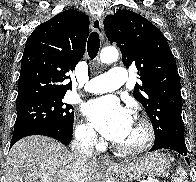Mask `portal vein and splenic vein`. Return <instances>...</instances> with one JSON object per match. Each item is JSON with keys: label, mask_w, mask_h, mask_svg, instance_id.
I'll list each match as a JSON object with an SVG mask.
<instances>
[{"label": "portal vein and splenic vein", "mask_w": 196, "mask_h": 182, "mask_svg": "<svg viewBox=\"0 0 196 182\" xmlns=\"http://www.w3.org/2000/svg\"><path fill=\"white\" fill-rule=\"evenodd\" d=\"M142 182H154V181L149 179V180H143Z\"/></svg>", "instance_id": "1"}]
</instances>
